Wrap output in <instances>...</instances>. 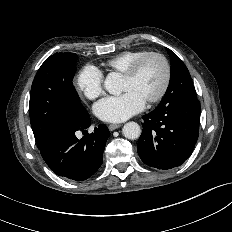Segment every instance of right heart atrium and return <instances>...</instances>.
I'll return each instance as SVG.
<instances>
[{
	"label": "right heart atrium",
	"instance_id": "right-heart-atrium-1",
	"mask_svg": "<svg viewBox=\"0 0 232 232\" xmlns=\"http://www.w3.org/2000/svg\"><path fill=\"white\" fill-rule=\"evenodd\" d=\"M76 87L86 99L97 98L103 92V74L92 65L84 66L76 77Z\"/></svg>",
	"mask_w": 232,
	"mask_h": 232
}]
</instances>
